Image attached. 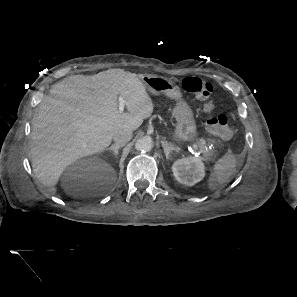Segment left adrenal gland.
<instances>
[{"label":"left adrenal gland","mask_w":297,"mask_h":297,"mask_svg":"<svg viewBox=\"0 0 297 297\" xmlns=\"http://www.w3.org/2000/svg\"><path fill=\"white\" fill-rule=\"evenodd\" d=\"M161 143H162V147L164 149V153H165L166 159H169L170 158V154L173 151L179 152V150H180V148H178V147L169 146V144L166 141H161Z\"/></svg>","instance_id":"a2214340"}]
</instances>
